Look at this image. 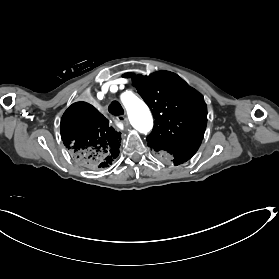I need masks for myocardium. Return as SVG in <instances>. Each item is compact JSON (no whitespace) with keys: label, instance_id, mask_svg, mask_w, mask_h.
<instances>
[{"label":"myocardium","instance_id":"1","mask_svg":"<svg viewBox=\"0 0 279 279\" xmlns=\"http://www.w3.org/2000/svg\"><path fill=\"white\" fill-rule=\"evenodd\" d=\"M107 87H108L107 84L102 85V90L104 91ZM103 91H102V92H99V93L97 94V98H99V99L102 98V96H103ZM137 98H138V96L135 98L134 102L137 100Z\"/></svg>","mask_w":279,"mask_h":279}]
</instances>
